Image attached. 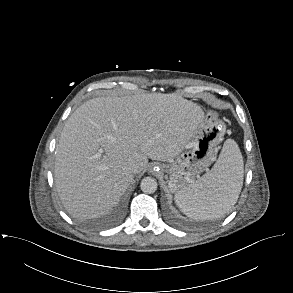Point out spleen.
<instances>
[{"instance_id":"spleen-1","label":"spleen","mask_w":293,"mask_h":293,"mask_svg":"<svg viewBox=\"0 0 293 293\" xmlns=\"http://www.w3.org/2000/svg\"><path fill=\"white\" fill-rule=\"evenodd\" d=\"M243 173L240 149L234 140L228 139L212 169L196 183L176 192L175 202L190 218H220L236 203L243 185Z\"/></svg>"}]
</instances>
